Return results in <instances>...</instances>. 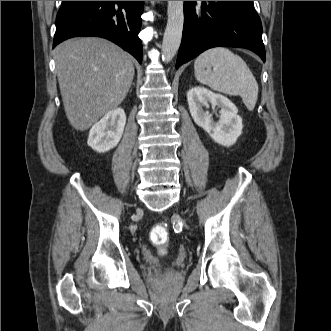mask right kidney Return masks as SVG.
Masks as SVG:
<instances>
[{"instance_id": "obj_1", "label": "right kidney", "mask_w": 331, "mask_h": 331, "mask_svg": "<svg viewBox=\"0 0 331 331\" xmlns=\"http://www.w3.org/2000/svg\"><path fill=\"white\" fill-rule=\"evenodd\" d=\"M126 124V115L123 109L117 108L104 115L90 129L88 145L99 153L107 152L119 143Z\"/></svg>"}]
</instances>
